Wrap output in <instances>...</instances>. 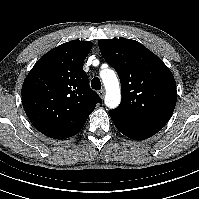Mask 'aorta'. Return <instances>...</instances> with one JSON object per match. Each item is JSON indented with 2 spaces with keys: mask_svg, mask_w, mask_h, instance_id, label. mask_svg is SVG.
Masks as SVG:
<instances>
[{
  "mask_svg": "<svg viewBox=\"0 0 199 199\" xmlns=\"http://www.w3.org/2000/svg\"><path fill=\"white\" fill-rule=\"evenodd\" d=\"M100 76L106 89L105 105L114 109L121 102L120 84L116 73L112 69H104L100 72Z\"/></svg>",
  "mask_w": 199,
  "mask_h": 199,
  "instance_id": "aorta-1",
  "label": "aorta"
}]
</instances>
